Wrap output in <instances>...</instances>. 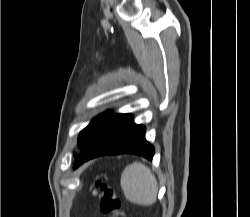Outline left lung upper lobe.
Returning a JSON list of instances; mask_svg holds the SVG:
<instances>
[{
	"label": "left lung upper lobe",
	"mask_w": 250,
	"mask_h": 217,
	"mask_svg": "<svg viewBox=\"0 0 250 217\" xmlns=\"http://www.w3.org/2000/svg\"><path fill=\"white\" fill-rule=\"evenodd\" d=\"M111 114H103L94 119L85 129H83L78 137V145L82 150L91 138L98 132V130L112 117ZM77 153H74V157Z\"/></svg>",
	"instance_id": "left-lung-upper-lobe-1"
}]
</instances>
